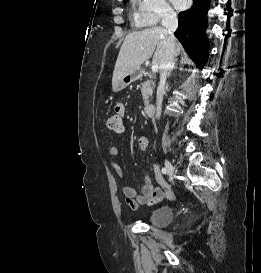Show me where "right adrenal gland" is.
<instances>
[{"mask_svg": "<svg viewBox=\"0 0 261 273\" xmlns=\"http://www.w3.org/2000/svg\"><path fill=\"white\" fill-rule=\"evenodd\" d=\"M175 61H177V60H175ZM171 75V71L168 73V77Z\"/></svg>", "mask_w": 261, "mask_h": 273, "instance_id": "obj_1", "label": "right adrenal gland"}]
</instances>
